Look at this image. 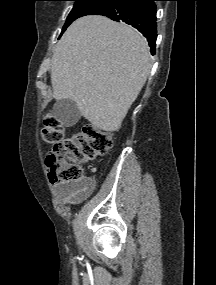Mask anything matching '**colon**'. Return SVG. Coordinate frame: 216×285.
I'll return each mask as SVG.
<instances>
[{
	"label": "colon",
	"instance_id": "obj_1",
	"mask_svg": "<svg viewBox=\"0 0 216 285\" xmlns=\"http://www.w3.org/2000/svg\"><path fill=\"white\" fill-rule=\"evenodd\" d=\"M42 137L52 145L46 164L54 183L80 181L82 163L105 155L113 142L110 133L93 125H86L77 134L66 137L62 123L52 115L43 121Z\"/></svg>",
	"mask_w": 216,
	"mask_h": 285
}]
</instances>
